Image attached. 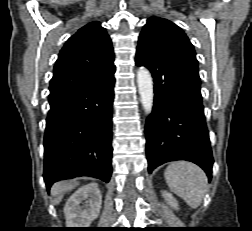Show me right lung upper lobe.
Returning <instances> with one entry per match:
<instances>
[{
    "label": "right lung upper lobe",
    "mask_w": 252,
    "mask_h": 231,
    "mask_svg": "<svg viewBox=\"0 0 252 231\" xmlns=\"http://www.w3.org/2000/svg\"><path fill=\"white\" fill-rule=\"evenodd\" d=\"M114 72L111 39L100 22H91L71 36L61 49L49 86V103Z\"/></svg>",
    "instance_id": "obj_1"
}]
</instances>
